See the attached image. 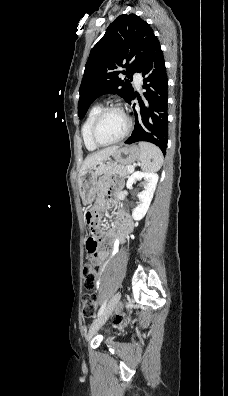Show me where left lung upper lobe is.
I'll list each match as a JSON object with an SVG mask.
<instances>
[{
	"instance_id": "1",
	"label": "left lung upper lobe",
	"mask_w": 228,
	"mask_h": 396,
	"mask_svg": "<svg viewBox=\"0 0 228 396\" xmlns=\"http://www.w3.org/2000/svg\"><path fill=\"white\" fill-rule=\"evenodd\" d=\"M157 37L149 24L135 14H122L111 23L102 39L91 49L79 89L78 116L101 94H118L127 102L133 87L127 79L140 72ZM126 71H121V68Z\"/></svg>"
}]
</instances>
